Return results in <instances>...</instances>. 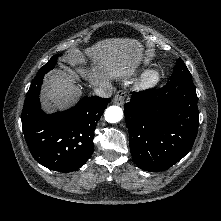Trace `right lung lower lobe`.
<instances>
[{
    "label": "right lung lower lobe",
    "instance_id": "right-lung-lower-lobe-1",
    "mask_svg": "<svg viewBox=\"0 0 221 221\" xmlns=\"http://www.w3.org/2000/svg\"><path fill=\"white\" fill-rule=\"evenodd\" d=\"M43 76L35 78L22 110V128L34 159L58 172L78 170L93 152L94 130L110 98L84 97L75 107L53 114L40 108Z\"/></svg>",
    "mask_w": 221,
    "mask_h": 221
}]
</instances>
